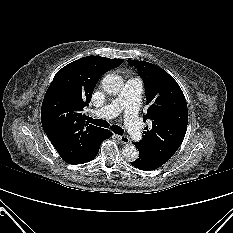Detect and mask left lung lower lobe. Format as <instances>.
Wrapping results in <instances>:
<instances>
[{
  "label": "left lung lower lobe",
  "instance_id": "1",
  "mask_svg": "<svg viewBox=\"0 0 233 233\" xmlns=\"http://www.w3.org/2000/svg\"><path fill=\"white\" fill-rule=\"evenodd\" d=\"M164 163L159 162L158 160L147 156L146 154H144L142 151L139 150V156L138 158L131 162V165H133L134 167L138 168V169H142V170H155L157 168H159L160 166H162Z\"/></svg>",
  "mask_w": 233,
  "mask_h": 233
}]
</instances>
